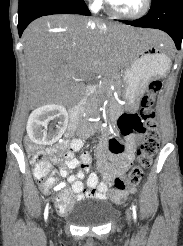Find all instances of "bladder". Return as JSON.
<instances>
[{"mask_svg": "<svg viewBox=\"0 0 183 246\" xmlns=\"http://www.w3.org/2000/svg\"><path fill=\"white\" fill-rule=\"evenodd\" d=\"M116 213L114 206L105 199H96L91 204L71 216L72 221L84 227H95L106 224Z\"/></svg>", "mask_w": 183, "mask_h": 246, "instance_id": "1", "label": "bladder"}]
</instances>
